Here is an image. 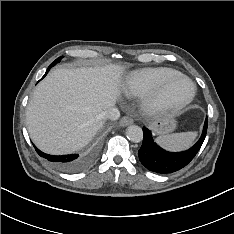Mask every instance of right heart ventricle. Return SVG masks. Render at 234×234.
Here are the masks:
<instances>
[{"mask_svg": "<svg viewBox=\"0 0 234 234\" xmlns=\"http://www.w3.org/2000/svg\"><path fill=\"white\" fill-rule=\"evenodd\" d=\"M180 74L169 68H146L133 71L124 84V91L128 96H145L155 90L166 80Z\"/></svg>", "mask_w": 234, "mask_h": 234, "instance_id": "right-heart-ventricle-1", "label": "right heart ventricle"}]
</instances>
